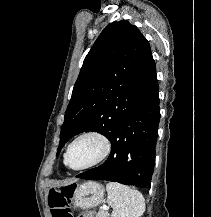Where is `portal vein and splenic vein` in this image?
<instances>
[{
    "mask_svg": "<svg viewBox=\"0 0 211 217\" xmlns=\"http://www.w3.org/2000/svg\"><path fill=\"white\" fill-rule=\"evenodd\" d=\"M101 209H103V210H107L108 207H107L106 205H103V206L101 207Z\"/></svg>",
    "mask_w": 211,
    "mask_h": 217,
    "instance_id": "portal-vein-and-splenic-vein-1",
    "label": "portal vein and splenic vein"
}]
</instances>
